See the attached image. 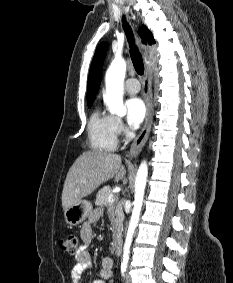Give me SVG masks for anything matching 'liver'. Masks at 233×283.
<instances>
[{"mask_svg": "<svg viewBox=\"0 0 233 283\" xmlns=\"http://www.w3.org/2000/svg\"><path fill=\"white\" fill-rule=\"evenodd\" d=\"M125 174L120 155L98 150L83 152L66 176L62 191L63 210L90 195L101 184L112 178L118 182Z\"/></svg>", "mask_w": 233, "mask_h": 283, "instance_id": "liver-1", "label": "liver"}]
</instances>
